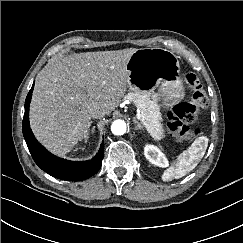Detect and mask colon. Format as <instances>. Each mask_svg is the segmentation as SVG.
Segmentation results:
<instances>
[{"label":"colon","mask_w":243,"mask_h":243,"mask_svg":"<svg viewBox=\"0 0 243 243\" xmlns=\"http://www.w3.org/2000/svg\"><path fill=\"white\" fill-rule=\"evenodd\" d=\"M185 81L192 90L191 100L175 106L169 113V126L181 137L190 139L200 134L199 130H192L190 125L196 119L199 111L208 106L207 94L194 73H187Z\"/></svg>","instance_id":"1"}]
</instances>
